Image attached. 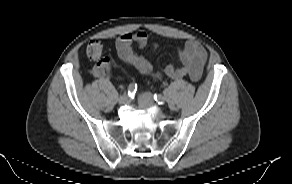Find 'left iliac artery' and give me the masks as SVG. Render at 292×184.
Instances as JSON below:
<instances>
[{
    "mask_svg": "<svg viewBox=\"0 0 292 184\" xmlns=\"http://www.w3.org/2000/svg\"><path fill=\"white\" fill-rule=\"evenodd\" d=\"M154 99L158 104L165 103V98L161 94H154Z\"/></svg>",
    "mask_w": 292,
    "mask_h": 184,
    "instance_id": "obj_1",
    "label": "left iliac artery"
}]
</instances>
